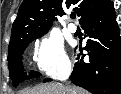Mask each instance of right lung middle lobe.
<instances>
[{"label":"right lung middle lobe","instance_id":"obj_1","mask_svg":"<svg viewBox=\"0 0 121 94\" xmlns=\"http://www.w3.org/2000/svg\"><path fill=\"white\" fill-rule=\"evenodd\" d=\"M46 33L47 31H37V30L27 31L17 40L9 44L8 64H9L10 78L12 79L13 86L16 87L19 82H22L25 79L36 78L41 75L39 72L32 71L31 74L27 76V74L23 72L21 59H22V54L25 48L28 46V44L32 42L34 39L41 37Z\"/></svg>","mask_w":121,"mask_h":94}]
</instances>
